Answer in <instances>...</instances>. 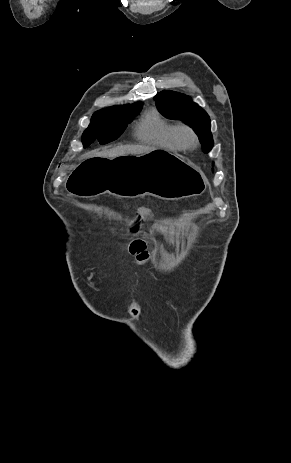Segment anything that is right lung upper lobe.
<instances>
[{"label":"right lung upper lobe","instance_id":"obj_1","mask_svg":"<svg viewBox=\"0 0 291 463\" xmlns=\"http://www.w3.org/2000/svg\"><path fill=\"white\" fill-rule=\"evenodd\" d=\"M139 104H142V102H137V103H134V104H131V105L114 106V107H109L107 109H127V108H130V107L139 105Z\"/></svg>","mask_w":291,"mask_h":463}]
</instances>
